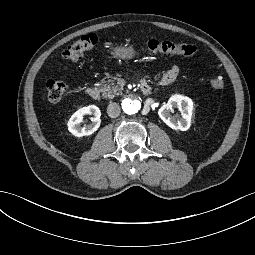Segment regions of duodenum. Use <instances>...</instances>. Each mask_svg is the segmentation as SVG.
I'll list each match as a JSON object with an SVG mask.
<instances>
[{"instance_id":"1","label":"duodenum","mask_w":255,"mask_h":255,"mask_svg":"<svg viewBox=\"0 0 255 255\" xmlns=\"http://www.w3.org/2000/svg\"><path fill=\"white\" fill-rule=\"evenodd\" d=\"M140 90L143 94L147 95L151 92V87L147 82L142 81L140 83ZM86 94L93 100H98L100 98V92L96 87H88L86 89Z\"/></svg>"}]
</instances>
